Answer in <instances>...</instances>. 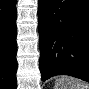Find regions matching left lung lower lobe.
<instances>
[{
  "label": "left lung lower lobe",
  "mask_w": 89,
  "mask_h": 89,
  "mask_svg": "<svg viewBox=\"0 0 89 89\" xmlns=\"http://www.w3.org/2000/svg\"><path fill=\"white\" fill-rule=\"evenodd\" d=\"M42 81L69 75L89 82V0H39Z\"/></svg>",
  "instance_id": "obj_1"
}]
</instances>
